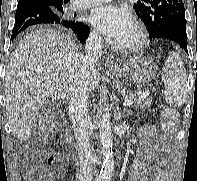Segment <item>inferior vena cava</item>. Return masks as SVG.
<instances>
[{
    "label": "inferior vena cava",
    "mask_w": 197,
    "mask_h": 181,
    "mask_svg": "<svg viewBox=\"0 0 197 181\" xmlns=\"http://www.w3.org/2000/svg\"><path fill=\"white\" fill-rule=\"evenodd\" d=\"M101 55L102 37L95 32L90 33L81 65L83 76L78 80L69 104V116L72 120L80 161L79 181H92L93 157L89 145L88 128L90 117L87 110L89 87L86 78L99 63Z\"/></svg>",
    "instance_id": "1"
}]
</instances>
